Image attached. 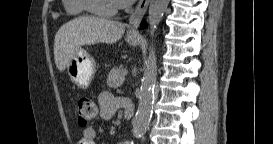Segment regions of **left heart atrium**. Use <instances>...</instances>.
Listing matches in <instances>:
<instances>
[{
  "label": "left heart atrium",
  "instance_id": "left-heart-atrium-1",
  "mask_svg": "<svg viewBox=\"0 0 273 144\" xmlns=\"http://www.w3.org/2000/svg\"><path fill=\"white\" fill-rule=\"evenodd\" d=\"M118 7H125L133 3L134 0H113Z\"/></svg>",
  "mask_w": 273,
  "mask_h": 144
}]
</instances>
